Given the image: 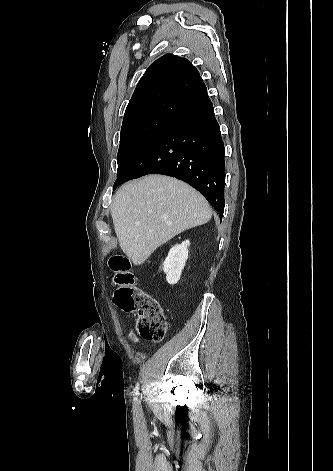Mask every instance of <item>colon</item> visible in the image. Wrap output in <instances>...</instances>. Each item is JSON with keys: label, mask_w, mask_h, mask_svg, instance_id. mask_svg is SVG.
<instances>
[{"label": "colon", "mask_w": 333, "mask_h": 471, "mask_svg": "<svg viewBox=\"0 0 333 471\" xmlns=\"http://www.w3.org/2000/svg\"><path fill=\"white\" fill-rule=\"evenodd\" d=\"M108 265L116 286L115 304L125 311L137 314L136 325L141 336L152 341L162 340L166 334L167 322L161 305L137 287L129 259L114 255L109 259Z\"/></svg>", "instance_id": "1"}]
</instances>
